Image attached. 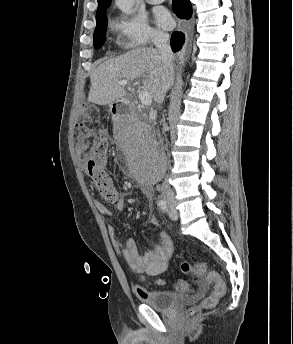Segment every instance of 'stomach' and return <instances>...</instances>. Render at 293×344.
Wrapping results in <instances>:
<instances>
[{
    "instance_id": "1",
    "label": "stomach",
    "mask_w": 293,
    "mask_h": 344,
    "mask_svg": "<svg viewBox=\"0 0 293 344\" xmlns=\"http://www.w3.org/2000/svg\"><path fill=\"white\" fill-rule=\"evenodd\" d=\"M113 106H114V104L110 105V109H112V108H113Z\"/></svg>"
}]
</instances>
